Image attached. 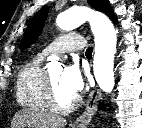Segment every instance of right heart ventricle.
Listing matches in <instances>:
<instances>
[{"instance_id": "obj_1", "label": "right heart ventricle", "mask_w": 142, "mask_h": 128, "mask_svg": "<svg viewBox=\"0 0 142 128\" xmlns=\"http://www.w3.org/2000/svg\"><path fill=\"white\" fill-rule=\"evenodd\" d=\"M44 55L39 54L26 63L17 75V101L30 109H47L46 72L42 67Z\"/></svg>"}]
</instances>
